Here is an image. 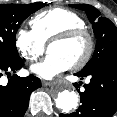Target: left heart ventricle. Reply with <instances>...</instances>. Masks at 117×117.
Returning <instances> with one entry per match:
<instances>
[{"instance_id": "b2bd125f", "label": "left heart ventricle", "mask_w": 117, "mask_h": 117, "mask_svg": "<svg viewBox=\"0 0 117 117\" xmlns=\"http://www.w3.org/2000/svg\"><path fill=\"white\" fill-rule=\"evenodd\" d=\"M86 50V41L76 39L68 43H57L48 49L49 54H54L65 59L70 65H73L84 55Z\"/></svg>"}]
</instances>
